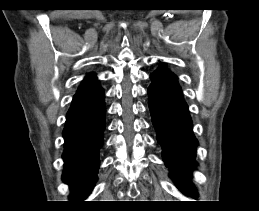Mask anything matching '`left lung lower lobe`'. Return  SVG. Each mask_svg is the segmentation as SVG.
Returning <instances> with one entry per match:
<instances>
[{
  "label": "left lung lower lobe",
  "instance_id": "0a47b994",
  "mask_svg": "<svg viewBox=\"0 0 259 211\" xmlns=\"http://www.w3.org/2000/svg\"><path fill=\"white\" fill-rule=\"evenodd\" d=\"M150 78L149 108L163 160L178 188L195 198L197 193L190 182L189 171L197 165L198 141L192 132L188 105L177 81L152 74Z\"/></svg>",
  "mask_w": 259,
  "mask_h": 211
}]
</instances>
